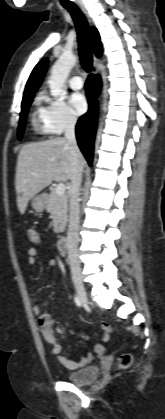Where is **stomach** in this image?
Segmentation results:
<instances>
[{"instance_id": "stomach-1", "label": "stomach", "mask_w": 165, "mask_h": 419, "mask_svg": "<svg viewBox=\"0 0 165 419\" xmlns=\"http://www.w3.org/2000/svg\"><path fill=\"white\" fill-rule=\"evenodd\" d=\"M31 206L36 212H42L46 207L45 195L34 196L31 200Z\"/></svg>"}]
</instances>
